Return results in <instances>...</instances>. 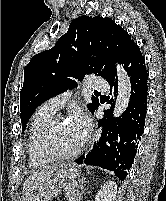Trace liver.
Segmentation results:
<instances>
[{
  "label": "liver",
  "instance_id": "liver-1",
  "mask_svg": "<svg viewBox=\"0 0 166 201\" xmlns=\"http://www.w3.org/2000/svg\"><path fill=\"white\" fill-rule=\"evenodd\" d=\"M57 170L58 167H53L48 170H41L31 174L24 182L22 201H32L35 195V190L38 188V186L41 185L46 180V178L50 177Z\"/></svg>",
  "mask_w": 166,
  "mask_h": 201
}]
</instances>
